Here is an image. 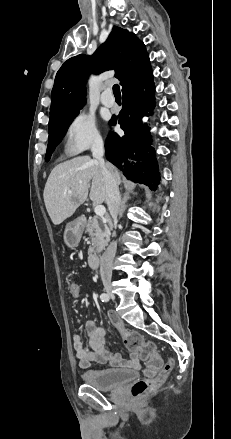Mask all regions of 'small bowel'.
Returning <instances> with one entry per match:
<instances>
[{
	"mask_svg": "<svg viewBox=\"0 0 231 439\" xmlns=\"http://www.w3.org/2000/svg\"><path fill=\"white\" fill-rule=\"evenodd\" d=\"M108 319L111 326L122 336L128 332L122 321L115 314L110 313ZM85 329L88 346L84 345L80 334L76 333L72 337L73 348L76 352L80 368L89 369L92 363L110 364L125 368H138L140 366V357L136 351L131 352L129 359H123L120 354L112 353L108 350L105 340V328L98 326L94 321H87Z\"/></svg>",
	"mask_w": 231,
	"mask_h": 439,
	"instance_id": "1",
	"label": "small bowel"
}]
</instances>
